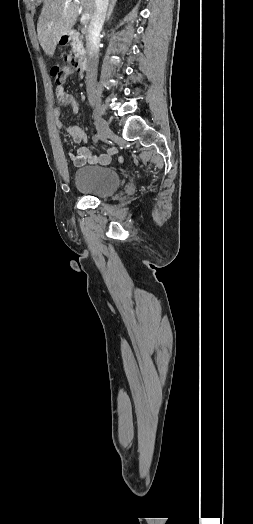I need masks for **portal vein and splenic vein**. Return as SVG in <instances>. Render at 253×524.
Wrapping results in <instances>:
<instances>
[{
	"mask_svg": "<svg viewBox=\"0 0 253 524\" xmlns=\"http://www.w3.org/2000/svg\"><path fill=\"white\" fill-rule=\"evenodd\" d=\"M90 19V14L89 13H84L81 17V23L82 24H86Z\"/></svg>",
	"mask_w": 253,
	"mask_h": 524,
	"instance_id": "portal-vein-and-splenic-vein-1",
	"label": "portal vein and splenic vein"
}]
</instances>
